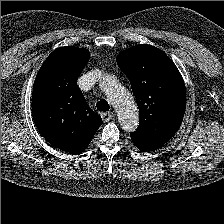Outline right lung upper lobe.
I'll use <instances>...</instances> for the list:
<instances>
[{
    "instance_id": "cb5924a9",
    "label": "right lung upper lobe",
    "mask_w": 224,
    "mask_h": 224,
    "mask_svg": "<svg viewBox=\"0 0 224 224\" xmlns=\"http://www.w3.org/2000/svg\"><path fill=\"white\" fill-rule=\"evenodd\" d=\"M89 57L83 48L55 49L33 85L32 116L39 132L52 146L73 155L86 149L103 123L77 86Z\"/></svg>"
}]
</instances>
